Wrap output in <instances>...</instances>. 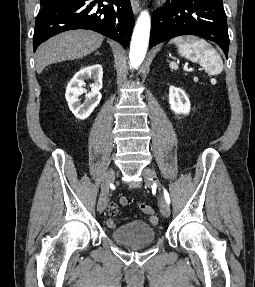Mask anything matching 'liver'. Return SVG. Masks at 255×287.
<instances>
[{
    "label": "liver",
    "instance_id": "6515ba94",
    "mask_svg": "<svg viewBox=\"0 0 255 287\" xmlns=\"http://www.w3.org/2000/svg\"><path fill=\"white\" fill-rule=\"evenodd\" d=\"M103 40L104 36L101 34L87 32V30H70V32L58 34L39 46L35 54V70L37 74H41L50 64L84 58L100 48Z\"/></svg>",
    "mask_w": 255,
    "mask_h": 287
}]
</instances>
